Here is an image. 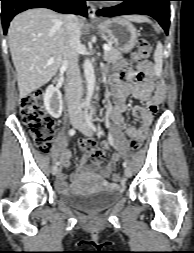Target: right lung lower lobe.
<instances>
[{
  "label": "right lung lower lobe",
  "mask_w": 194,
  "mask_h": 253,
  "mask_svg": "<svg viewBox=\"0 0 194 253\" xmlns=\"http://www.w3.org/2000/svg\"><path fill=\"white\" fill-rule=\"evenodd\" d=\"M2 1V25L4 34L7 32L12 18L27 9L49 8L60 13H72L87 16L85 1L87 0H0Z\"/></svg>",
  "instance_id": "obj_1"
}]
</instances>
